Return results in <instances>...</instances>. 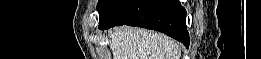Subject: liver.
<instances>
[{
  "label": "liver",
  "instance_id": "1",
  "mask_svg": "<svg viewBox=\"0 0 261 59\" xmlns=\"http://www.w3.org/2000/svg\"><path fill=\"white\" fill-rule=\"evenodd\" d=\"M114 59H180V44L158 32L135 27L110 30Z\"/></svg>",
  "mask_w": 261,
  "mask_h": 59
}]
</instances>
